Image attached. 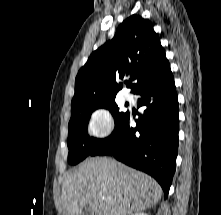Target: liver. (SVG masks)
Instances as JSON below:
<instances>
[{"mask_svg":"<svg viewBox=\"0 0 221 215\" xmlns=\"http://www.w3.org/2000/svg\"><path fill=\"white\" fill-rule=\"evenodd\" d=\"M160 185L150 176L111 158H88L65 176L62 186L64 215H132L156 205Z\"/></svg>","mask_w":221,"mask_h":215,"instance_id":"1","label":"liver"}]
</instances>
